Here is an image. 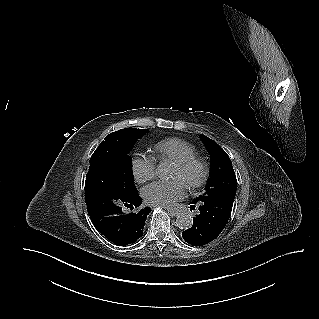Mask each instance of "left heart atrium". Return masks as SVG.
<instances>
[{
    "instance_id": "left-heart-atrium-1",
    "label": "left heart atrium",
    "mask_w": 319,
    "mask_h": 319,
    "mask_svg": "<svg viewBox=\"0 0 319 319\" xmlns=\"http://www.w3.org/2000/svg\"><path fill=\"white\" fill-rule=\"evenodd\" d=\"M185 193V184L180 179L157 181L142 190L145 202L152 206L171 207Z\"/></svg>"
}]
</instances>
